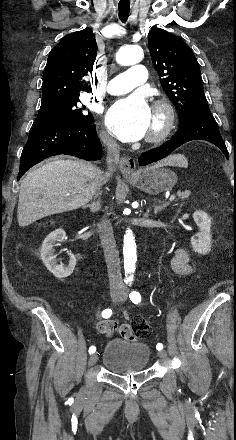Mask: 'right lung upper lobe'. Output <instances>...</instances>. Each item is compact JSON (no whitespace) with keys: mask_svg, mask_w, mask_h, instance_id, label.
Instances as JSON below:
<instances>
[{"mask_svg":"<svg viewBox=\"0 0 236 440\" xmlns=\"http://www.w3.org/2000/svg\"><path fill=\"white\" fill-rule=\"evenodd\" d=\"M97 55L95 35L90 28L64 36L50 51L43 73L42 105L79 97L88 87Z\"/></svg>","mask_w":236,"mask_h":440,"instance_id":"1","label":"right lung upper lobe"}]
</instances>
